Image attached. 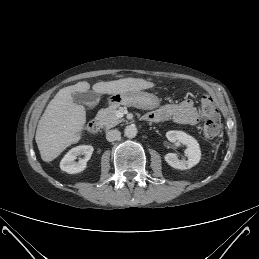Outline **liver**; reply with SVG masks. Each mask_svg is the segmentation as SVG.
Segmentation results:
<instances>
[{"instance_id": "6515ba94", "label": "liver", "mask_w": 259, "mask_h": 259, "mask_svg": "<svg viewBox=\"0 0 259 259\" xmlns=\"http://www.w3.org/2000/svg\"><path fill=\"white\" fill-rule=\"evenodd\" d=\"M152 87L154 84L144 79L123 78L96 83L92 89L100 94H115ZM88 89H90L88 82H78L62 88L48 104L39 120L35 136L43 161L54 160L67 147L81 139V131L86 122V111L82 105L74 103L72 94L83 93Z\"/></svg>"}]
</instances>
